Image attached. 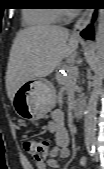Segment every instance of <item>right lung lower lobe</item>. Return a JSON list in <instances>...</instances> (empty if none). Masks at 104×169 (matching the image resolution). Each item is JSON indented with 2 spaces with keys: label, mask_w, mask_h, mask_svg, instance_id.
<instances>
[{
  "label": "right lung lower lobe",
  "mask_w": 104,
  "mask_h": 169,
  "mask_svg": "<svg viewBox=\"0 0 104 169\" xmlns=\"http://www.w3.org/2000/svg\"><path fill=\"white\" fill-rule=\"evenodd\" d=\"M82 37L86 39H93V29L91 26H88L85 30L81 32Z\"/></svg>",
  "instance_id": "98d812e1"
}]
</instances>
